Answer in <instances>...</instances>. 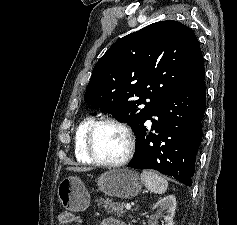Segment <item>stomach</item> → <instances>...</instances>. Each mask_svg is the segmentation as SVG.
Listing matches in <instances>:
<instances>
[{
    "label": "stomach",
    "mask_w": 237,
    "mask_h": 225,
    "mask_svg": "<svg viewBox=\"0 0 237 225\" xmlns=\"http://www.w3.org/2000/svg\"><path fill=\"white\" fill-rule=\"evenodd\" d=\"M99 189L108 196L128 199L137 196L142 182L132 170L111 169L97 180ZM58 199L61 205L70 211L80 212L88 208L90 195L83 182L74 176L64 178L58 185Z\"/></svg>",
    "instance_id": "0dacf381"
}]
</instances>
